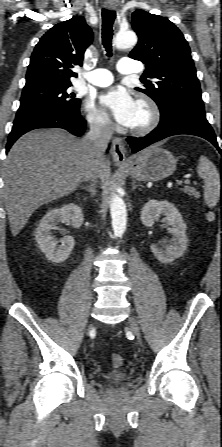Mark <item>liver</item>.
Instances as JSON below:
<instances>
[{
  "label": "liver",
  "instance_id": "liver-1",
  "mask_svg": "<svg viewBox=\"0 0 222 447\" xmlns=\"http://www.w3.org/2000/svg\"><path fill=\"white\" fill-rule=\"evenodd\" d=\"M92 156L85 139L62 129L35 130L23 135L4 163V201L13 236L43 204L74 192L90 168ZM108 161L97 165L102 181Z\"/></svg>",
  "mask_w": 222,
  "mask_h": 447
}]
</instances>
